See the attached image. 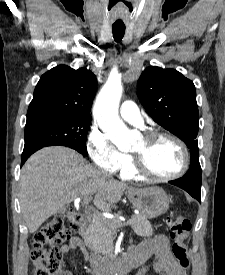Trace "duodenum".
<instances>
[{
	"instance_id": "duodenum-1",
	"label": "duodenum",
	"mask_w": 225,
	"mask_h": 275,
	"mask_svg": "<svg viewBox=\"0 0 225 275\" xmlns=\"http://www.w3.org/2000/svg\"><path fill=\"white\" fill-rule=\"evenodd\" d=\"M81 212L84 216L82 229L87 231L90 223V220L87 218V210L82 208ZM90 263L91 269L95 275H113L115 272L125 274L139 265L130 252L120 260H117L114 257H100L93 255L90 257Z\"/></svg>"
}]
</instances>
